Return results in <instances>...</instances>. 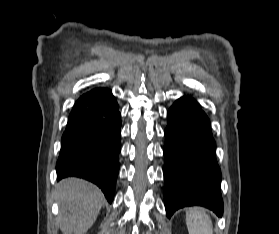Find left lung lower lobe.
I'll use <instances>...</instances> for the list:
<instances>
[{"label": "left lung lower lobe", "instance_id": "0a47b994", "mask_svg": "<svg viewBox=\"0 0 279 234\" xmlns=\"http://www.w3.org/2000/svg\"><path fill=\"white\" fill-rule=\"evenodd\" d=\"M167 117L163 152L168 218L177 209L191 205L207 207L222 216L221 171L208 117L188 96L178 99Z\"/></svg>", "mask_w": 279, "mask_h": 234}]
</instances>
